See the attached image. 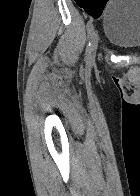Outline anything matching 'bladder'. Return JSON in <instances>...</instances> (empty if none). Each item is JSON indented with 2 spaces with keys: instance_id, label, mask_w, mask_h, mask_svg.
<instances>
[{
  "instance_id": "1",
  "label": "bladder",
  "mask_w": 140,
  "mask_h": 196,
  "mask_svg": "<svg viewBox=\"0 0 140 196\" xmlns=\"http://www.w3.org/2000/svg\"><path fill=\"white\" fill-rule=\"evenodd\" d=\"M104 34L119 49H140V0H112L104 13Z\"/></svg>"
}]
</instances>
